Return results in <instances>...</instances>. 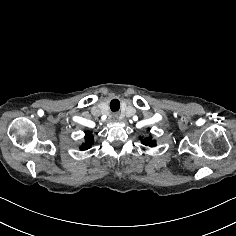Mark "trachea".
I'll return each mask as SVG.
<instances>
[{
  "instance_id": "obj_1",
  "label": "trachea",
  "mask_w": 236,
  "mask_h": 236,
  "mask_svg": "<svg viewBox=\"0 0 236 236\" xmlns=\"http://www.w3.org/2000/svg\"><path fill=\"white\" fill-rule=\"evenodd\" d=\"M108 106L111 109V111L116 112L119 110V108L121 106V101L117 97H112L108 101Z\"/></svg>"
}]
</instances>
